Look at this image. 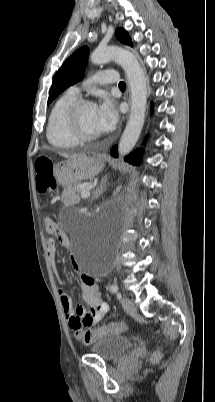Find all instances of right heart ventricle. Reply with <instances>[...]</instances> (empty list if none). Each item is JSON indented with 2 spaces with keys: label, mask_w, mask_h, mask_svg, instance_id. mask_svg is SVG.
Returning a JSON list of instances; mask_svg holds the SVG:
<instances>
[{
  "label": "right heart ventricle",
  "mask_w": 215,
  "mask_h": 402,
  "mask_svg": "<svg viewBox=\"0 0 215 402\" xmlns=\"http://www.w3.org/2000/svg\"><path fill=\"white\" fill-rule=\"evenodd\" d=\"M78 98V94L67 90L56 99L50 110L46 137L48 142L55 148L69 149L77 146L79 143L71 136L65 122L68 107Z\"/></svg>",
  "instance_id": "obj_1"
}]
</instances>
